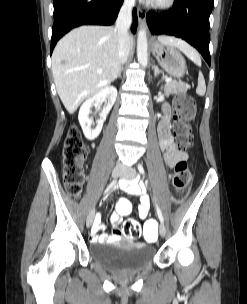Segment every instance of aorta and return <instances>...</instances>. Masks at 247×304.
Returning a JSON list of instances; mask_svg holds the SVG:
<instances>
[{"label":"aorta","mask_w":247,"mask_h":304,"mask_svg":"<svg viewBox=\"0 0 247 304\" xmlns=\"http://www.w3.org/2000/svg\"><path fill=\"white\" fill-rule=\"evenodd\" d=\"M148 43L145 28H141L137 38V58L140 65L147 66L148 63Z\"/></svg>","instance_id":"1"}]
</instances>
